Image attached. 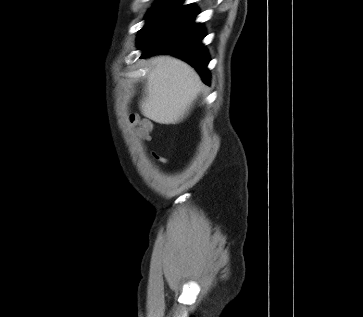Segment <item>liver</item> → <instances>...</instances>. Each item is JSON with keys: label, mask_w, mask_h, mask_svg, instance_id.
<instances>
[{"label": "liver", "mask_w": 363, "mask_h": 317, "mask_svg": "<svg viewBox=\"0 0 363 317\" xmlns=\"http://www.w3.org/2000/svg\"><path fill=\"white\" fill-rule=\"evenodd\" d=\"M147 76L140 102L142 114L160 124H176L189 113L202 91L196 71L184 61L169 55L149 59Z\"/></svg>", "instance_id": "1"}]
</instances>
